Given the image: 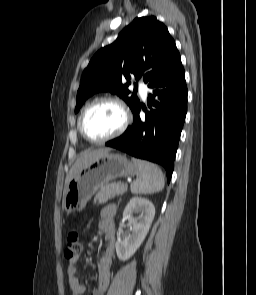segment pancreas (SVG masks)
Returning <instances> with one entry per match:
<instances>
[{"mask_svg":"<svg viewBox=\"0 0 256 295\" xmlns=\"http://www.w3.org/2000/svg\"><path fill=\"white\" fill-rule=\"evenodd\" d=\"M126 191H127V184L120 181L104 185L100 188V190L96 194L94 198V203L96 204V202H98L99 204H104L109 199H112L118 195H122Z\"/></svg>","mask_w":256,"mask_h":295,"instance_id":"cf45deb5","label":"pancreas"}]
</instances>
